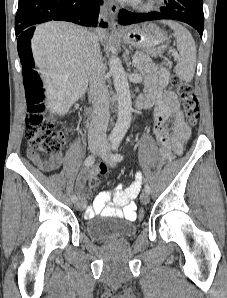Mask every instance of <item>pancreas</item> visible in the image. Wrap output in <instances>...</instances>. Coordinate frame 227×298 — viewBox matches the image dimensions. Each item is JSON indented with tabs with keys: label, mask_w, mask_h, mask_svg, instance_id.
<instances>
[{
	"label": "pancreas",
	"mask_w": 227,
	"mask_h": 298,
	"mask_svg": "<svg viewBox=\"0 0 227 298\" xmlns=\"http://www.w3.org/2000/svg\"><path fill=\"white\" fill-rule=\"evenodd\" d=\"M134 56L139 59V62L135 64V67L140 72V74L146 75L148 73L156 72L158 70V66L151 60V58L148 55L137 52ZM165 64L168 67L172 66V63L170 61L165 62Z\"/></svg>",
	"instance_id": "cf45deb5"
}]
</instances>
